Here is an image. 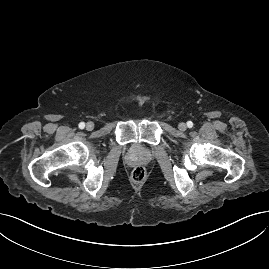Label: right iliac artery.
Listing matches in <instances>:
<instances>
[{
    "label": "right iliac artery",
    "mask_w": 269,
    "mask_h": 269,
    "mask_svg": "<svg viewBox=\"0 0 269 269\" xmlns=\"http://www.w3.org/2000/svg\"><path fill=\"white\" fill-rule=\"evenodd\" d=\"M84 127H85V123L84 122L79 123V128L80 129H83Z\"/></svg>",
    "instance_id": "82829eb1"
}]
</instances>
